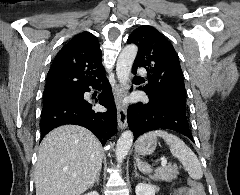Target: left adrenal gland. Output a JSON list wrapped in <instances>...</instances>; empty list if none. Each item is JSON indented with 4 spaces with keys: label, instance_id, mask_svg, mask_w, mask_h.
I'll use <instances>...</instances> for the list:
<instances>
[{
    "label": "left adrenal gland",
    "instance_id": "a2214340",
    "mask_svg": "<svg viewBox=\"0 0 240 195\" xmlns=\"http://www.w3.org/2000/svg\"><path fill=\"white\" fill-rule=\"evenodd\" d=\"M134 165H135V177H143V175H139L137 171L136 163H134Z\"/></svg>",
    "mask_w": 240,
    "mask_h": 195
}]
</instances>
